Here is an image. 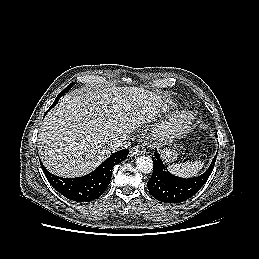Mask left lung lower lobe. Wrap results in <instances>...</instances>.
<instances>
[{
  "instance_id": "obj_1",
  "label": "left lung lower lobe",
  "mask_w": 259,
  "mask_h": 259,
  "mask_svg": "<svg viewBox=\"0 0 259 259\" xmlns=\"http://www.w3.org/2000/svg\"><path fill=\"white\" fill-rule=\"evenodd\" d=\"M217 155L213 158L208 170L198 177L180 178L169 173L160 155L155 152L152 157L154 168L151 179L147 182L150 194L159 201L168 203L183 202L194 194L206 183L212 173Z\"/></svg>"
}]
</instances>
